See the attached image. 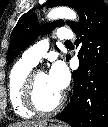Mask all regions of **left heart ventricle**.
Wrapping results in <instances>:
<instances>
[{"instance_id": "b2bd125f", "label": "left heart ventricle", "mask_w": 108, "mask_h": 127, "mask_svg": "<svg viewBox=\"0 0 108 127\" xmlns=\"http://www.w3.org/2000/svg\"><path fill=\"white\" fill-rule=\"evenodd\" d=\"M35 91L37 101L43 108L53 106L61 95V92L55 90L51 85L46 73L37 76Z\"/></svg>"}]
</instances>
